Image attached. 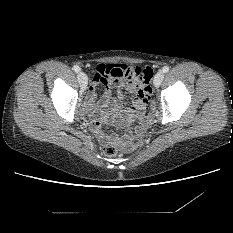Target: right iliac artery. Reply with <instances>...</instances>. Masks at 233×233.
Returning a JSON list of instances; mask_svg holds the SVG:
<instances>
[{
	"instance_id": "obj_1",
	"label": "right iliac artery",
	"mask_w": 233,
	"mask_h": 233,
	"mask_svg": "<svg viewBox=\"0 0 233 233\" xmlns=\"http://www.w3.org/2000/svg\"><path fill=\"white\" fill-rule=\"evenodd\" d=\"M73 70H74L76 73H78V72L80 71V67L77 66V65H74V66H73Z\"/></svg>"
}]
</instances>
